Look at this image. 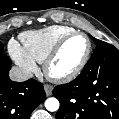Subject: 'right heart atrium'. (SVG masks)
<instances>
[{
	"label": "right heart atrium",
	"instance_id": "d8ad5b80",
	"mask_svg": "<svg viewBox=\"0 0 119 119\" xmlns=\"http://www.w3.org/2000/svg\"><path fill=\"white\" fill-rule=\"evenodd\" d=\"M8 48L11 57L23 73L29 75L37 70L36 61L27 53L25 48L19 42L11 40Z\"/></svg>",
	"mask_w": 119,
	"mask_h": 119
}]
</instances>
